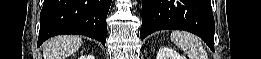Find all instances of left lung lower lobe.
Listing matches in <instances>:
<instances>
[{
  "label": "left lung lower lobe",
  "instance_id": "0a47b994",
  "mask_svg": "<svg viewBox=\"0 0 261 59\" xmlns=\"http://www.w3.org/2000/svg\"><path fill=\"white\" fill-rule=\"evenodd\" d=\"M186 30L214 51V17L210 0H142L140 38L158 30Z\"/></svg>",
  "mask_w": 261,
  "mask_h": 59
}]
</instances>
